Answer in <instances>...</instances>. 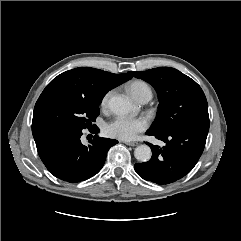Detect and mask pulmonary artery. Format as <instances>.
<instances>
[{"label":"pulmonary artery","mask_w":241,"mask_h":241,"mask_svg":"<svg viewBox=\"0 0 241 241\" xmlns=\"http://www.w3.org/2000/svg\"><path fill=\"white\" fill-rule=\"evenodd\" d=\"M149 100H150L149 97H143V98L139 99L138 102H139L140 104H145V103H147Z\"/></svg>","instance_id":"pulmonary-artery-1"}]
</instances>
